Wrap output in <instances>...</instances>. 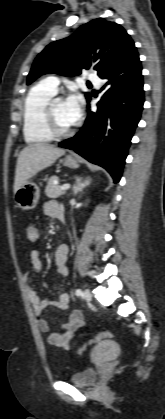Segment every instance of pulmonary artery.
<instances>
[{
    "mask_svg": "<svg viewBox=\"0 0 165 419\" xmlns=\"http://www.w3.org/2000/svg\"><path fill=\"white\" fill-rule=\"evenodd\" d=\"M87 80L90 81L95 86L99 87L102 83L101 79L94 73H89L87 75ZM42 83L50 89L52 92L56 93L59 85V79L56 76H49L42 81Z\"/></svg>",
    "mask_w": 165,
    "mask_h": 419,
    "instance_id": "obj_1",
    "label": "pulmonary artery"
}]
</instances>
